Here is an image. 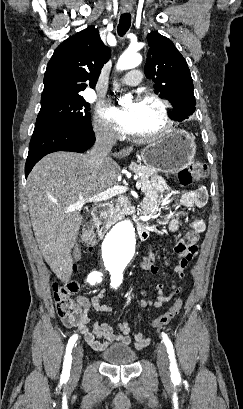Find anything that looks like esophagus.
Listing matches in <instances>:
<instances>
[{
    "label": "esophagus",
    "mask_w": 243,
    "mask_h": 409,
    "mask_svg": "<svg viewBox=\"0 0 243 409\" xmlns=\"http://www.w3.org/2000/svg\"><path fill=\"white\" fill-rule=\"evenodd\" d=\"M130 12L128 9H123V13H128Z\"/></svg>",
    "instance_id": "esophagus-1"
}]
</instances>
